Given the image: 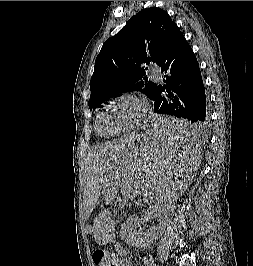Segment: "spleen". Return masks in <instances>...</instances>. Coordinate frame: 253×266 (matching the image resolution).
<instances>
[{
  "label": "spleen",
  "instance_id": "spleen-1",
  "mask_svg": "<svg viewBox=\"0 0 253 266\" xmlns=\"http://www.w3.org/2000/svg\"><path fill=\"white\" fill-rule=\"evenodd\" d=\"M150 145L137 151L139 160H127L129 176L122 177L117 193L124 199H144L147 204H171L181 199L190 174H196L201 160L200 123L187 117H146ZM115 211L101 210L95 215L93 233L101 246L115 245Z\"/></svg>",
  "mask_w": 253,
  "mask_h": 266
}]
</instances>
